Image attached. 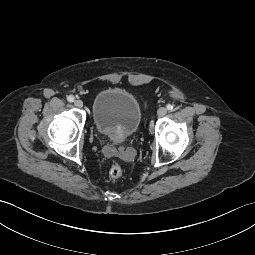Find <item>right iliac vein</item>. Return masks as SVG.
I'll return each mask as SVG.
<instances>
[{"label": "right iliac vein", "mask_w": 255, "mask_h": 255, "mask_svg": "<svg viewBox=\"0 0 255 255\" xmlns=\"http://www.w3.org/2000/svg\"><path fill=\"white\" fill-rule=\"evenodd\" d=\"M74 105L77 108H82L83 107V102L81 100L77 99V100L74 101Z\"/></svg>", "instance_id": "right-iliac-vein-1"}]
</instances>
